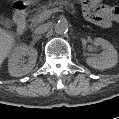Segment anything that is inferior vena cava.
I'll use <instances>...</instances> for the list:
<instances>
[{
  "instance_id": "inferior-vena-cava-1",
  "label": "inferior vena cava",
  "mask_w": 119,
  "mask_h": 119,
  "mask_svg": "<svg viewBox=\"0 0 119 119\" xmlns=\"http://www.w3.org/2000/svg\"><path fill=\"white\" fill-rule=\"evenodd\" d=\"M49 29H50V24L48 23L42 24L34 30V34L40 35V34L47 32Z\"/></svg>"
}]
</instances>
